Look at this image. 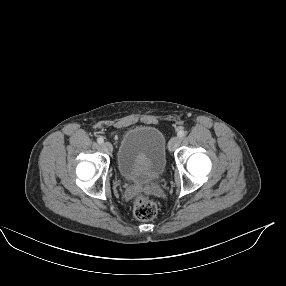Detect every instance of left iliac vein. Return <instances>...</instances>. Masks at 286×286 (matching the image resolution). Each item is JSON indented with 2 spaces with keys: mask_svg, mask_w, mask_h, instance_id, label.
Returning <instances> with one entry per match:
<instances>
[{
  "mask_svg": "<svg viewBox=\"0 0 286 286\" xmlns=\"http://www.w3.org/2000/svg\"><path fill=\"white\" fill-rule=\"evenodd\" d=\"M181 139L178 136L172 137L168 144L169 151H174L180 144Z\"/></svg>",
  "mask_w": 286,
  "mask_h": 286,
  "instance_id": "1",
  "label": "left iliac vein"
}]
</instances>
